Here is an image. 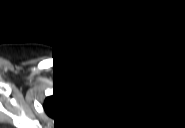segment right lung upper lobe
Wrapping results in <instances>:
<instances>
[{"mask_svg":"<svg viewBox=\"0 0 185 128\" xmlns=\"http://www.w3.org/2000/svg\"><path fill=\"white\" fill-rule=\"evenodd\" d=\"M71 102L64 96H59L53 101L52 106L50 105V113L55 117L63 116L70 110Z\"/></svg>","mask_w":185,"mask_h":128,"instance_id":"1","label":"right lung upper lobe"}]
</instances>
